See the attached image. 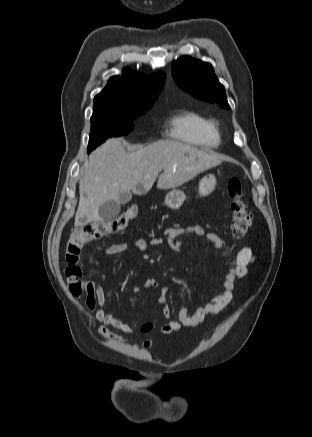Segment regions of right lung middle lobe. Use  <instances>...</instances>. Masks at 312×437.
<instances>
[{
    "label": "right lung middle lobe",
    "instance_id": "1",
    "mask_svg": "<svg viewBox=\"0 0 312 437\" xmlns=\"http://www.w3.org/2000/svg\"><path fill=\"white\" fill-rule=\"evenodd\" d=\"M139 115L93 113L91 117L89 145L87 148L88 152L105 142L109 137L128 134L134 127V119Z\"/></svg>",
    "mask_w": 312,
    "mask_h": 437
}]
</instances>
